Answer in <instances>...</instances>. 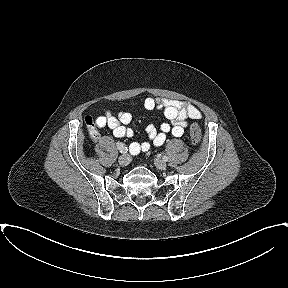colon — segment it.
Listing matches in <instances>:
<instances>
[{
  "instance_id": "colon-1",
  "label": "colon",
  "mask_w": 288,
  "mask_h": 288,
  "mask_svg": "<svg viewBox=\"0 0 288 288\" xmlns=\"http://www.w3.org/2000/svg\"><path fill=\"white\" fill-rule=\"evenodd\" d=\"M85 123L89 129L90 135L92 137H96L97 136V131L94 127V123L91 117H86L85 118ZM202 138V133H201V129L198 126V124L194 123L191 125L190 127V139L192 144L194 145H198L201 141Z\"/></svg>"
}]
</instances>
